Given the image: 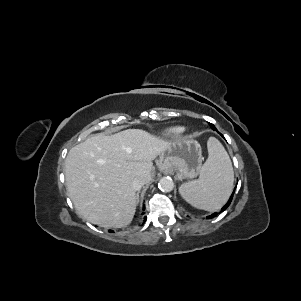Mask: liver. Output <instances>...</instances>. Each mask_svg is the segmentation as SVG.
I'll return each instance as SVG.
<instances>
[{
	"label": "liver",
	"instance_id": "liver-1",
	"mask_svg": "<svg viewBox=\"0 0 301 301\" xmlns=\"http://www.w3.org/2000/svg\"><path fill=\"white\" fill-rule=\"evenodd\" d=\"M170 142L141 129L93 135L72 147L64 174L69 197L78 213L102 227L128 226L136 211L132 180L152 178V161Z\"/></svg>",
	"mask_w": 301,
	"mask_h": 301
}]
</instances>
